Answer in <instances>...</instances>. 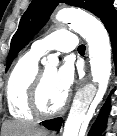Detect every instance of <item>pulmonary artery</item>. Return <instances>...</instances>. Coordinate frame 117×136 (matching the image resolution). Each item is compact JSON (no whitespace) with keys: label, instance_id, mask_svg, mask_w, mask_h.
Listing matches in <instances>:
<instances>
[{"label":"pulmonary artery","instance_id":"obj_1","mask_svg":"<svg viewBox=\"0 0 117 136\" xmlns=\"http://www.w3.org/2000/svg\"><path fill=\"white\" fill-rule=\"evenodd\" d=\"M77 47L78 40L75 33L68 29H59L35 41L31 46V50L42 56L53 50L69 52Z\"/></svg>","mask_w":117,"mask_h":136}]
</instances>
